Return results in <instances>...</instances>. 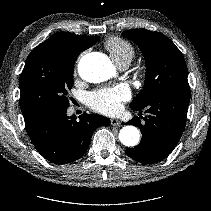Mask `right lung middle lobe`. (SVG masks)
I'll return each instance as SVG.
<instances>
[{
    "instance_id": "right-lung-middle-lobe-1",
    "label": "right lung middle lobe",
    "mask_w": 211,
    "mask_h": 211,
    "mask_svg": "<svg viewBox=\"0 0 211 211\" xmlns=\"http://www.w3.org/2000/svg\"><path fill=\"white\" fill-rule=\"evenodd\" d=\"M74 58L56 56L38 45L29 54L20 75V108L24 119L50 108H67L73 86Z\"/></svg>"
}]
</instances>
